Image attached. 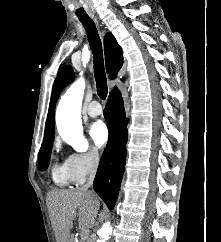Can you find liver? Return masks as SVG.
<instances>
[{"instance_id":"1","label":"liver","mask_w":221,"mask_h":242,"mask_svg":"<svg viewBox=\"0 0 221 242\" xmlns=\"http://www.w3.org/2000/svg\"><path fill=\"white\" fill-rule=\"evenodd\" d=\"M49 216L57 242H75L71 234L73 220L79 228L88 230L95 222L100 202L96 195L82 189L51 191L47 196Z\"/></svg>"}]
</instances>
